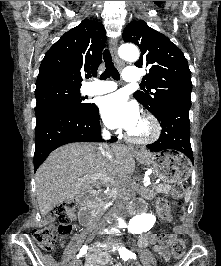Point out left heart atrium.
Returning a JSON list of instances; mask_svg holds the SVG:
<instances>
[{"label":"left heart atrium","instance_id":"left-heart-atrium-1","mask_svg":"<svg viewBox=\"0 0 221 266\" xmlns=\"http://www.w3.org/2000/svg\"><path fill=\"white\" fill-rule=\"evenodd\" d=\"M99 108L103 121L110 128H124L132 131L141 122L137 103L129 101L122 92L102 98Z\"/></svg>","mask_w":221,"mask_h":266}]
</instances>
